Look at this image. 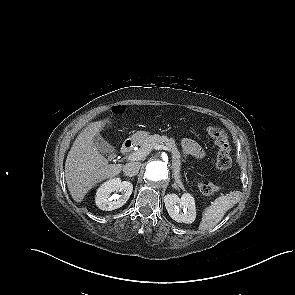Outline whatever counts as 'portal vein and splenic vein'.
<instances>
[{
	"instance_id": "18ae733b",
	"label": "portal vein and splenic vein",
	"mask_w": 295,
	"mask_h": 295,
	"mask_svg": "<svg viewBox=\"0 0 295 295\" xmlns=\"http://www.w3.org/2000/svg\"><path fill=\"white\" fill-rule=\"evenodd\" d=\"M154 149H156V150L163 149V150L169 151V149L165 145H155ZM143 157H144L143 153L135 152V153L130 154L127 159L131 160V161H135V160H141Z\"/></svg>"
}]
</instances>
